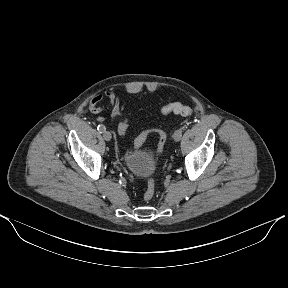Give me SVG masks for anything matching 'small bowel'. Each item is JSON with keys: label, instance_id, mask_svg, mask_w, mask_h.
<instances>
[{"label": "small bowel", "instance_id": "c3829d8e", "mask_svg": "<svg viewBox=\"0 0 288 288\" xmlns=\"http://www.w3.org/2000/svg\"><path fill=\"white\" fill-rule=\"evenodd\" d=\"M105 97L108 102V105L106 107H102L99 105L103 98V95L97 94L91 98L90 103H89V109L94 114H99L103 112L104 110H110L112 119L116 120L122 114V105H121L120 98L113 90H107L105 92ZM121 123L122 121L119 123L118 129ZM118 132L120 135H123L119 130Z\"/></svg>", "mask_w": 288, "mask_h": 288}]
</instances>
